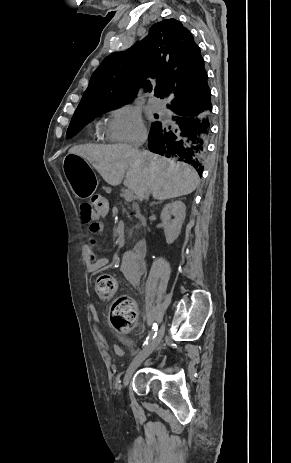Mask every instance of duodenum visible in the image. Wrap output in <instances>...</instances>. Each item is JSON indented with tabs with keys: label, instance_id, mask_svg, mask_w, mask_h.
Masks as SVG:
<instances>
[{
	"label": "duodenum",
	"instance_id": "duodenum-1",
	"mask_svg": "<svg viewBox=\"0 0 291 463\" xmlns=\"http://www.w3.org/2000/svg\"><path fill=\"white\" fill-rule=\"evenodd\" d=\"M141 209L142 210H145L146 209V206L145 205H142L141 206ZM134 251L136 252V254H138L139 256H145L146 253H147V241L145 239H141L139 240L135 246H134Z\"/></svg>",
	"mask_w": 291,
	"mask_h": 463
}]
</instances>
